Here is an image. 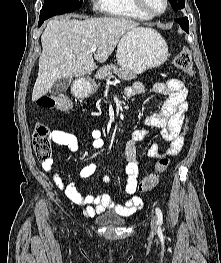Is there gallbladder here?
<instances>
[{
    "instance_id": "1",
    "label": "gallbladder",
    "mask_w": 221,
    "mask_h": 263,
    "mask_svg": "<svg viewBox=\"0 0 221 263\" xmlns=\"http://www.w3.org/2000/svg\"><path fill=\"white\" fill-rule=\"evenodd\" d=\"M70 84H71L70 78L59 79L53 84V86L50 90V93L52 95H61L67 91Z\"/></svg>"
}]
</instances>
